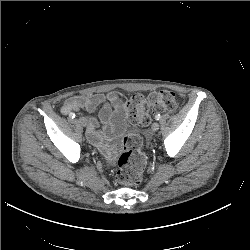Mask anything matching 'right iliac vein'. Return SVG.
Masks as SVG:
<instances>
[{
	"mask_svg": "<svg viewBox=\"0 0 250 250\" xmlns=\"http://www.w3.org/2000/svg\"><path fill=\"white\" fill-rule=\"evenodd\" d=\"M83 127H85L87 125V121L85 119V117H80L77 120Z\"/></svg>",
	"mask_w": 250,
	"mask_h": 250,
	"instance_id": "1",
	"label": "right iliac vein"
}]
</instances>
